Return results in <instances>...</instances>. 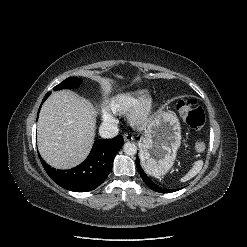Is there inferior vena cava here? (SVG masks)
<instances>
[{
  "instance_id": "1",
  "label": "inferior vena cava",
  "mask_w": 247,
  "mask_h": 247,
  "mask_svg": "<svg viewBox=\"0 0 247 247\" xmlns=\"http://www.w3.org/2000/svg\"><path fill=\"white\" fill-rule=\"evenodd\" d=\"M118 131L117 125L109 122H105L99 127V134L102 138H113L117 136Z\"/></svg>"
}]
</instances>
